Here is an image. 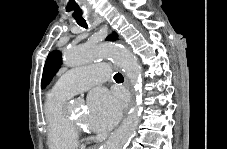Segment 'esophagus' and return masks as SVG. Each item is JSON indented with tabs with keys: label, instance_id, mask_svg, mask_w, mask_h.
Here are the masks:
<instances>
[{
	"label": "esophagus",
	"instance_id": "1",
	"mask_svg": "<svg viewBox=\"0 0 227 149\" xmlns=\"http://www.w3.org/2000/svg\"><path fill=\"white\" fill-rule=\"evenodd\" d=\"M102 21H103L102 18H100V22H102ZM124 79H125V85L131 94V101H130V105H129V108H130L134 103V92H133V88H132L128 78L125 76ZM129 114H130L129 111H124L123 114H121V119H127Z\"/></svg>",
	"mask_w": 227,
	"mask_h": 149
}]
</instances>
